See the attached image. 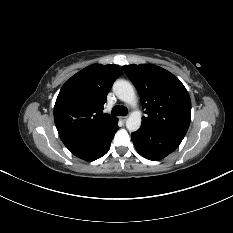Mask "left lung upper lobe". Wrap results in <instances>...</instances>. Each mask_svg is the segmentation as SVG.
Wrapping results in <instances>:
<instances>
[{
    "instance_id": "left-lung-upper-lobe-1",
    "label": "left lung upper lobe",
    "mask_w": 233,
    "mask_h": 233,
    "mask_svg": "<svg viewBox=\"0 0 233 233\" xmlns=\"http://www.w3.org/2000/svg\"><path fill=\"white\" fill-rule=\"evenodd\" d=\"M123 70L136 86L146 117L142 125L185 136L191 118L190 96L169 71L153 65H127Z\"/></svg>"
}]
</instances>
